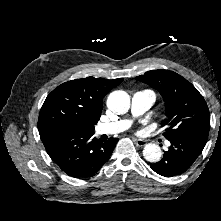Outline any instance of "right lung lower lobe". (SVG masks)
I'll list each match as a JSON object with an SVG mask.
<instances>
[{
	"instance_id": "right-lung-lower-lobe-1",
	"label": "right lung lower lobe",
	"mask_w": 221,
	"mask_h": 221,
	"mask_svg": "<svg viewBox=\"0 0 221 221\" xmlns=\"http://www.w3.org/2000/svg\"><path fill=\"white\" fill-rule=\"evenodd\" d=\"M40 138L51 159L67 175L87 178L94 175L110 158L117 138L97 140L93 133L64 129L39 131Z\"/></svg>"
}]
</instances>
